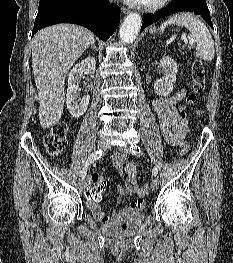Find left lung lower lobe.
Wrapping results in <instances>:
<instances>
[{
    "instance_id": "0a47b994",
    "label": "left lung lower lobe",
    "mask_w": 233,
    "mask_h": 263,
    "mask_svg": "<svg viewBox=\"0 0 233 263\" xmlns=\"http://www.w3.org/2000/svg\"><path fill=\"white\" fill-rule=\"evenodd\" d=\"M181 11H190L199 14L213 27L206 0H172L167 7L158 11L156 14H145L141 31L160 18Z\"/></svg>"
}]
</instances>
